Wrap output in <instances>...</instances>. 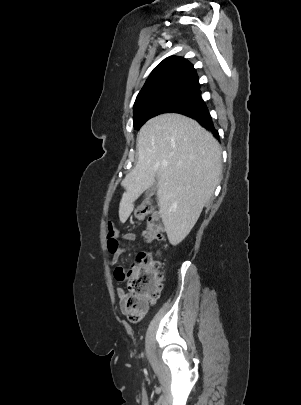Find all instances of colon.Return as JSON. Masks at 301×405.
Instances as JSON below:
<instances>
[{
  "label": "colon",
  "mask_w": 301,
  "mask_h": 405,
  "mask_svg": "<svg viewBox=\"0 0 301 405\" xmlns=\"http://www.w3.org/2000/svg\"><path fill=\"white\" fill-rule=\"evenodd\" d=\"M135 216L138 219L147 218L146 227L143 232L148 242L162 240L165 228L162 224L159 212L154 205L145 201L135 209ZM108 249L113 253L119 245L117 230L109 223L107 226ZM161 263L148 252H140L136 262L128 272L127 289L121 300V308L129 321L139 322L148 307V304L160 295L162 286Z\"/></svg>",
  "instance_id": "1"
}]
</instances>
